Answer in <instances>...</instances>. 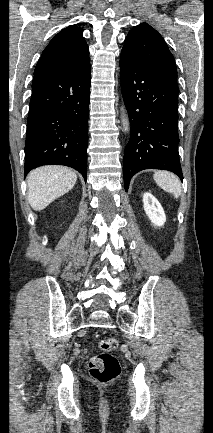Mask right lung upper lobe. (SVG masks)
<instances>
[{
  "label": "right lung upper lobe",
  "mask_w": 213,
  "mask_h": 433,
  "mask_svg": "<svg viewBox=\"0 0 213 433\" xmlns=\"http://www.w3.org/2000/svg\"><path fill=\"white\" fill-rule=\"evenodd\" d=\"M82 32V28L71 25L56 34L44 49L34 75L69 71L89 61V49Z\"/></svg>",
  "instance_id": "cb5924a9"
}]
</instances>
